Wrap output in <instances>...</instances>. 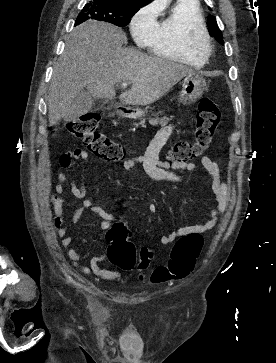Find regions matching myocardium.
<instances>
[{
  "label": "myocardium",
  "instance_id": "f54148a6",
  "mask_svg": "<svg viewBox=\"0 0 276 363\" xmlns=\"http://www.w3.org/2000/svg\"><path fill=\"white\" fill-rule=\"evenodd\" d=\"M187 45L193 54L204 60L212 53V40L206 29L192 28L187 36Z\"/></svg>",
  "mask_w": 276,
  "mask_h": 363
}]
</instances>
